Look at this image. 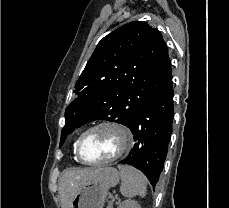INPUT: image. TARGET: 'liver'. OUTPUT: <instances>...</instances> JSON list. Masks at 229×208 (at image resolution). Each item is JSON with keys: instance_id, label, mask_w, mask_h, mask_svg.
<instances>
[{"instance_id": "obj_1", "label": "liver", "mask_w": 229, "mask_h": 208, "mask_svg": "<svg viewBox=\"0 0 229 208\" xmlns=\"http://www.w3.org/2000/svg\"><path fill=\"white\" fill-rule=\"evenodd\" d=\"M102 170H105L104 166H101V168H69V170H65L60 178L58 188L62 208H70L77 188L83 182L101 178Z\"/></svg>"}]
</instances>
